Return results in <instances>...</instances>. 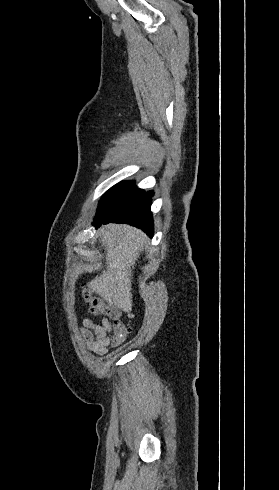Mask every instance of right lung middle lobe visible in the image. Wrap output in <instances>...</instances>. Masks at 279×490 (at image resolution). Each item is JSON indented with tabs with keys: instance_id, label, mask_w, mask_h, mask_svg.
<instances>
[{
	"instance_id": "1",
	"label": "right lung middle lobe",
	"mask_w": 279,
	"mask_h": 490,
	"mask_svg": "<svg viewBox=\"0 0 279 490\" xmlns=\"http://www.w3.org/2000/svg\"><path fill=\"white\" fill-rule=\"evenodd\" d=\"M135 187L133 182L125 181L116 184L113 186L110 190H108L101 198L99 201L98 209H97V214L95 219L101 217L103 214H105L109 208L110 202L118 196L120 193L131 189Z\"/></svg>"
}]
</instances>
